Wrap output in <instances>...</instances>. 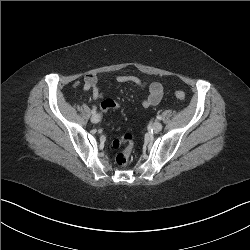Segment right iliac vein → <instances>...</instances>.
<instances>
[{
  "instance_id": "obj_1",
  "label": "right iliac vein",
  "mask_w": 250,
  "mask_h": 250,
  "mask_svg": "<svg viewBox=\"0 0 250 250\" xmlns=\"http://www.w3.org/2000/svg\"><path fill=\"white\" fill-rule=\"evenodd\" d=\"M91 121L93 123H98L100 121V116L98 114H94L92 117H91Z\"/></svg>"
}]
</instances>
